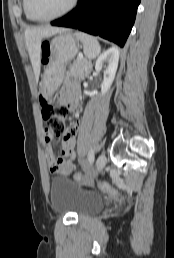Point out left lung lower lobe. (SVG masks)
<instances>
[{
    "mask_svg": "<svg viewBox=\"0 0 174 258\" xmlns=\"http://www.w3.org/2000/svg\"><path fill=\"white\" fill-rule=\"evenodd\" d=\"M141 0H79L77 7L51 25L79 29L123 47Z\"/></svg>",
    "mask_w": 174,
    "mask_h": 258,
    "instance_id": "1",
    "label": "left lung lower lobe"
}]
</instances>
